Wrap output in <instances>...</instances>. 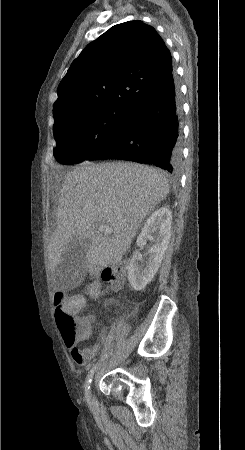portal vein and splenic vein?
Masks as SVG:
<instances>
[{
	"instance_id": "18ae733b",
	"label": "portal vein and splenic vein",
	"mask_w": 245,
	"mask_h": 450,
	"mask_svg": "<svg viewBox=\"0 0 245 450\" xmlns=\"http://www.w3.org/2000/svg\"><path fill=\"white\" fill-rule=\"evenodd\" d=\"M99 232H103L105 234H112L113 233V228L105 225V224H101L97 227Z\"/></svg>"
}]
</instances>
